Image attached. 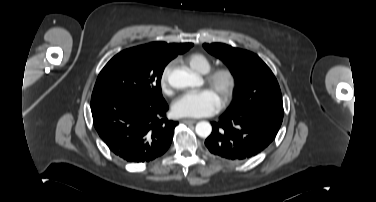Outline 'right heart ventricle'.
I'll use <instances>...</instances> for the list:
<instances>
[{
	"label": "right heart ventricle",
	"mask_w": 376,
	"mask_h": 202,
	"mask_svg": "<svg viewBox=\"0 0 376 202\" xmlns=\"http://www.w3.org/2000/svg\"><path fill=\"white\" fill-rule=\"evenodd\" d=\"M184 62L188 67H190L193 71L199 74L207 73L211 68V61L210 59L203 53L196 52L188 55Z\"/></svg>",
	"instance_id": "right-heart-ventricle-1"
}]
</instances>
